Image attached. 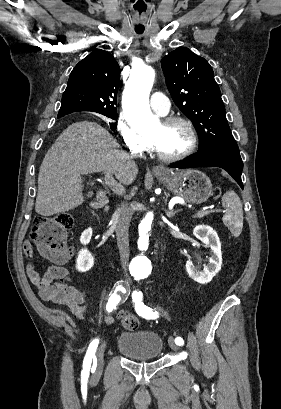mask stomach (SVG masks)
Instances as JSON below:
<instances>
[{"mask_svg":"<svg viewBox=\"0 0 281 409\" xmlns=\"http://www.w3.org/2000/svg\"><path fill=\"white\" fill-rule=\"evenodd\" d=\"M158 178L174 194L182 196L187 202H193V205H200V202H205L213 194L212 182L209 176L201 170L183 168V170H175L168 176H158Z\"/></svg>","mask_w":281,"mask_h":409,"instance_id":"1","label":"stomach"}]
</instances>
